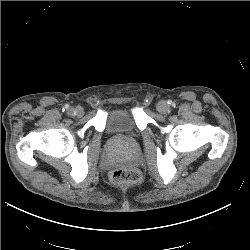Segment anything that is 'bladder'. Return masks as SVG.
Instances as JSON below:
<instances>
[{
  "label": "bladder",
  "mask_w": 250,
  "mask_h": 250,
  "mask_svg": "<svg viewBox=\"0 0 250 250\" xmlns=\"http://www.w3.org/2000/svg\"><path fill=\"white\" fill-rule=\"evenodd\" d=\"M134 129L135 117L133 112L129 109L118 107L107 113L105 121V130L107 133L115 135Z\"/></svg>",
  "instance_id": "obj_1"
}]
</instances>
